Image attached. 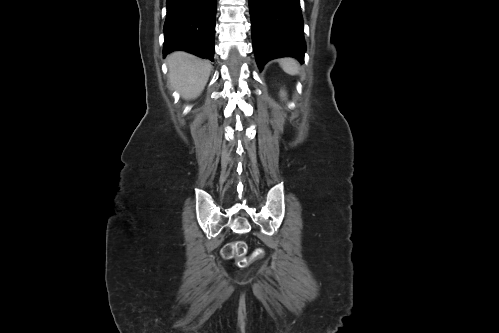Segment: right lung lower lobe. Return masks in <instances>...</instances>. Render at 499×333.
<instances>
[{
  "label": "right lung lower lobe",
  "mask_w": 499,
  "mask_h": 333,
  "mask_svg": "<svg viewBox=\"0 0 499 333\" xmlns=\"http://www.w3.org/2000/svg\"><path fill=\"white\" fill-rule=\"evenodd\" d=\"M217 0H167L164 57L183 50L214 61Z\"/></svg>",
  "instance_id": "right-lung-lower-lobe-1"
}]
</instances>
